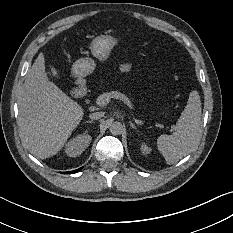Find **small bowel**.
Masks as SVG:
<instances>
[{"label":"small bowel","mask_w":233,"mask_h":233,"mask_svg":"<svg viewBox=\"0 0 233 233\" xmlns=\"http://www.w3.org/2000/svg\"><path fill=\"white\" fill-rule=\"evenodd\" d=\"M119 70L122 72V73H127L131 70V65L128 64V63H123V64H120L119 65Z\"/></svg>","instance_id":"obj_1"}]
</instances>
